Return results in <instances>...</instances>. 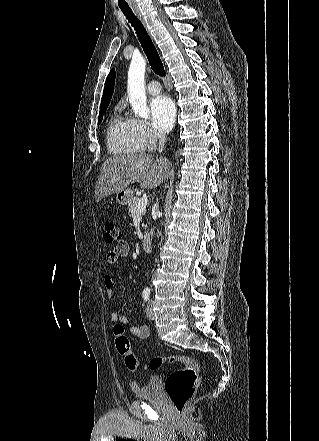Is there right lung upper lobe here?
Here are the masks:
<instances>
[{
	"mask_svg": "<svg viewBox=\"0 0 319 441\" xmlns=\"http://www.w3.org/2000/svg\"><path fill=\"white\" fill-rule=\"evenodd\" d=\"M114 84H115V70L112 69L107 77L106 83H105V87H104V91H103V96H102V101H101V109L103 107H108L113 91H114Z\"/></svg>",
	"mask_w": 319,
	"mask_h": 441,
	"instance_id": "obj_1",
	"label": "right lung upper lobe"
}]
</instances>
